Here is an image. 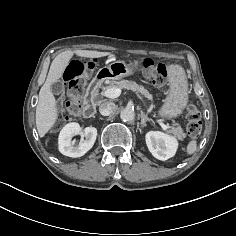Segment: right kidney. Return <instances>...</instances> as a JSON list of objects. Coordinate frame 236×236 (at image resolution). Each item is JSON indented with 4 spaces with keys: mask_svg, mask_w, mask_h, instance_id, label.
Masks as SVG:
<instances>
[{
    "mask_svg": "<svg viewBox=\"0 0 236 236\" xmlns=\"http://www.w3.org/2000/svg\"><path fill=\"white\" fill-rule=\"evenodd\" d=\"M76 135L85 137L78 146H74L72 138ZM97 129L95 127H86L82 129L78 123H69L63 127L59 134V151L69 157L77 158L87 153L95 143Z\"/></svg>",
    "mask_w": 236,
    "mask_h": 236,
    "instance_id": "right-kidney-1",
    "label": "right kidney"
}]
</instances>
